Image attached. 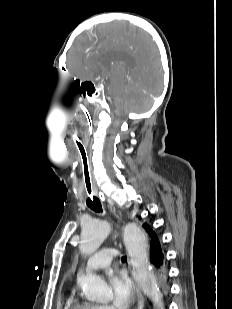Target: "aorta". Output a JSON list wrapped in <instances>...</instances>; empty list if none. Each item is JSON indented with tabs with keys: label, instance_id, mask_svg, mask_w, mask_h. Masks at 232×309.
<instances>
[{
	"label": "aorta",
	"instance_id": "aorta-1",
	"mask_svg": "<svg viewBox=\"0 0 232 309\" xmlns=\"http://www.w3.org/2000/svg\"><path fill=\"white\" fill-rule=\"evenodd\" d=\"M109 230L110 224L103 220L91 219L84 223L79 245L81 253L89 255L97 251L108 236ZM123 239L130 257L134 279L153 304L158 309H163V296L155 275L150 269L148 244L144 231L136 224L129 223L124 228ZM77 283L89 300L105 302L111 297V290L107 283L97 275L79 273Z\"/></svg>",
	"mask_w": 232,
	"mask_h": 309
}]
</instances>
